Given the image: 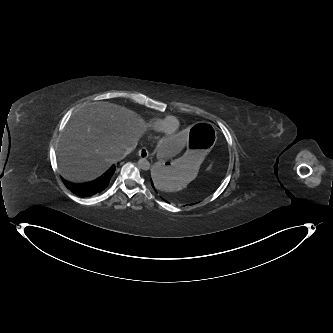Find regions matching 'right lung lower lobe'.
Returning <instances> with one entry per match:
<instances>
[{
	"mask_svg": "<svg viewBox=\"0 0 333 333\" xmlns=\"http://www.w3.org/2000/svg\"><path fill=\"white\" fill-rule=\"evenodd\" d=\"M115 172V166L113 165L103 176L98 179L85 183V184H73L63 180L64 184L74 194L80 197H89L95 194L103 192L109 185L110 179Z\"/></svg>",
	"mask_w": 333,
	"mask_h": 333,
	"instance_id": "obj_1",
	"label": "right lung lower lobe"
}]
</instances>
